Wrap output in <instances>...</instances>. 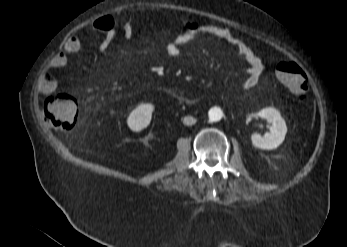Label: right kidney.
Segmentation results:
<instances>
[{
    "label": "right kidney",
    "mask_w": 347,
    "mask_h": 247,
    "mask_svg": "<svg viewBox=\"0 0 347 247\" xmlns=\"http://www.w3.org/2000/svg\"><path fill=\"white\" fill-rule=\"evenodd\" d=\"M154 106L152 104H140L128 116L127 124L132 131H141L146 128L152 117Z\"/></svg>",
    "instance_id": "ca27d5eb"
}]
</instances>
